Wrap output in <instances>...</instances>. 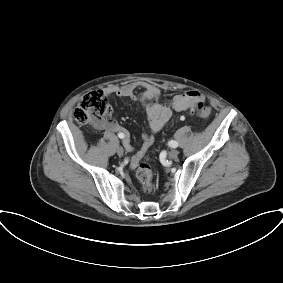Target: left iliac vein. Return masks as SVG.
I'll return each instance as SVG.
<instances>
[{"instance_id": "left-iliac-vein-1", "label": "left iliac vein", "mask_w": 283, "mask_h": 283, "mask_svg": "<svg viewBox=\"0 0 283 283\" xmlns=\"http://www.w3.org/2000/svg\"><path fill=\"white\" fill-rule=\"evenodd\" d=\"M179 154V151L177 149H172L169 154H168V157L170 159H175Z\"/></svg>"}]
</instances>
